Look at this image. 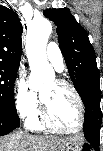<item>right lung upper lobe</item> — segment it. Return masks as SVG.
I'll return each instance as SVG.
<instances>
[{"label":"right lung upper lobe","mask_w":103,"mask_h":151,"mask_svg":"<svg viewBox=\"0 0 103 151\" xmlns=\"http://www.w3.org/2000/svg\"><path fill=\"white\" fill-rule=\"evenodd\" d=\"M22 25L17 13L0 6V64L18 65L22 54Z\"/></svg>","instance_id":"right-lung-upper-lobe-1"}]
</instances>
